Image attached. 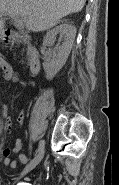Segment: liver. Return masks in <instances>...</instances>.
<instances>
[{
  "instance_id": "6515ba94",
  "label": "liver",
  "mask_w": 119,
  "mask_h": 185,
  "mask_svg": "<svg viewBox=\"0 0 119 185\" xmlns=\"http://www.w3.org/2000/svg\"><path fill=\"white\" fill-rule=\"evenodd\" d=\"M86 0H0V14L21 16L27 28L41 32L52 28L60 20L82 10ZM4 21L0 19V30Z\"/></svg>"
}]
</instances>
